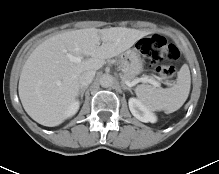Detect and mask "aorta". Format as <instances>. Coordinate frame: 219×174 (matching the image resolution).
Instances as JSON below:
<instances>
[{
  "label": "aorta",
  "instance_id": "762f6f07",
  "mask_svg": "<svg viewBox=\"0 0 219 174\" xmlns=\"http://www.w3.org/2000/svg\"><path fill=\"white\" fill-rule=\"evenodd\" d=\"M114 83V79L111 75L109 74H104L100 78V85L104 88L111 87Z\"/></svg>",
  "mask_w": 219,
  "mask_h": 174
}]
</instances>
